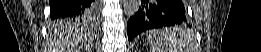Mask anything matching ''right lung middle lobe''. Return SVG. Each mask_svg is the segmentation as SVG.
<instances>
[{
    "instance_id": "1",
    "label": "right lung middle lobe",
    "mask_w": 261,
    "mask_h": 52,
    "mask_svg": "<svg viewBox=\"0 0 261 52\" xmlns=\"http://www.w3.org/2000/svg\"><path fill=\"white\" fill-rule=\"evenodd\" d=\"M52 20H55L52 23L53 25L68 26V25H73L74 22L76 23L83 22V23L92 24L95 22L96 17H89L87 15H83V16H76L73 18H58Z\"/></svg>"
}]
</instances>
